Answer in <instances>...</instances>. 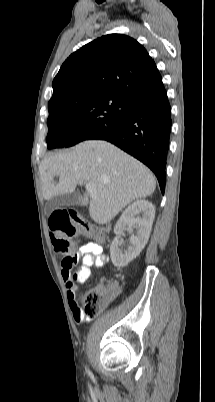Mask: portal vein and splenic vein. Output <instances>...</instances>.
<instances>
[{
  "instance_id": "obj_1",
  "label": "portal vein and splenic vein",
  "mask_w": 215,
  "mask_h": 402,
  "mask_svg": "<svg viewBox=\"0 0 215 402\" xmlns=\"http://www.w3.org/2000/svg\"><path fill=\"white\" fill-rule=\"evenodd\" d=\"M86 191L92 196L96 197V188L94 187L93 184L91 183H86L85 184Z\"/></svg>"
}]
</instances>
